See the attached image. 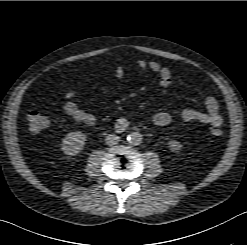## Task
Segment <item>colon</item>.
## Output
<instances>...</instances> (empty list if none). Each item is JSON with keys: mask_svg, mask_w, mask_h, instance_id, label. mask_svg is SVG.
<instances>
[{"mask_svg": "<svg viewBox=\"0 0 247 245\" xmlns=\"http://www.w3.org/2000/svg\"><path fill=\"white\" fill-rule=\"evenodd\" d=\"M28 129L31 133L37 134L45 129L48 125V120L45 115L39 111H31L28 114ZM211 133L215 136H220L223 131L219 127H213Z\"/></svg>", "mask_w": 247, "mask_h": 245, "instance_id": "colon-1", "label": "colon"}]
</instances>
